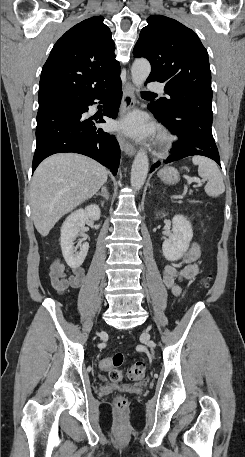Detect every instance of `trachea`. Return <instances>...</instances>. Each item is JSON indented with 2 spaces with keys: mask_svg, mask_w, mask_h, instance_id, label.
<instances>
[{
  "mask_svg": "<svg viewBox=\"0 0 245 457\" xmlns=\"http://www.w3.org/2000/svg\"><path fill=\"white\" fill-rule=\"evenodd\" d=\"M143 95H156V94H152V92H143Z\"/></svg>",
  "mask_w": 245,
  "mask_h": 457,
  "instance_id": "trachea-1",
  "label": "trachea"
}]
</instances>
